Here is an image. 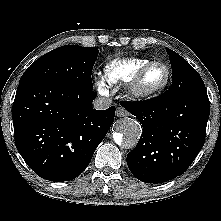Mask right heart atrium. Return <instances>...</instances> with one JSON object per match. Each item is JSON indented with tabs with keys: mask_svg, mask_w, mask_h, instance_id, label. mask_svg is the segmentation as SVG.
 Wrapping results in <instances>:
<instances>
[{
	"mask_svg": "<svg viewBox=\"0 0 221 221\" xmlns=\"http://www.w3.org/2000/svg\"><path fill=\"white\" fill-rule=\"evenodd\" d=\"M96 87H97L98 91L101 93H103L105 91V85L102 80L96 81Z\"/></svg>",
	"mask_w": 221,
	"mask_h": 221,
	"instance_id": "right-heart-atrium-1",
	"label": "right heart atrium"
}]
</instances>
